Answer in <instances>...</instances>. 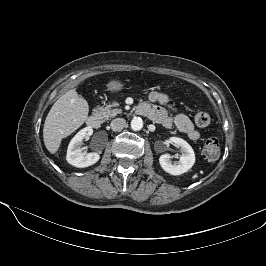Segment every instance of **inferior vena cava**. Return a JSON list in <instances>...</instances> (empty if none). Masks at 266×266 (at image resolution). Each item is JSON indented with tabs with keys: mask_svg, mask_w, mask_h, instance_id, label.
<instances>
[{
	"mask_svg": "<svg viewBox=\"0 0 266 266\" xmlns=\"http://www.w3.org/2000/svg\"><path fill=\"white\" fill-rule=\"evenodd\" d=\"M126 125V120L123 118H115L111 121V129L113 131H121Z\"/></svg>",
	"mask_w": 266,
	"mask_h": 266,
	"instance_id": "602c4592",
	"label": "inferior vena cava"
}]
</instances>
